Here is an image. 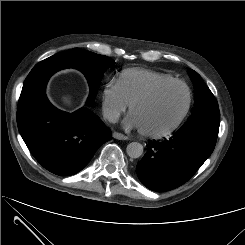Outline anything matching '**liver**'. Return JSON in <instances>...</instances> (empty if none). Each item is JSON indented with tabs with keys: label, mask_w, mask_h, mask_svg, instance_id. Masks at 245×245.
<instances>
[{
	"label": "liver",
	"mask_w": 245,
	"mask_h": 245,
	"mask_svg": "<svg viewBox=\"0 0 245 245\" xmlns=\"http://www.w3.org/2000/svg\"><path fill=\"white\" fill-rule=\"evenodd\" d=\"M63 101H64L66 104H68V105H70L71 102H72L70 96H64V97H63Z\"/></svg>",
	"instance_id": "liver-1"
}]
</instances>
